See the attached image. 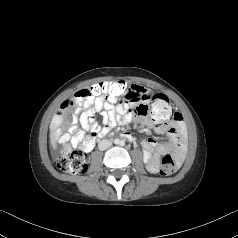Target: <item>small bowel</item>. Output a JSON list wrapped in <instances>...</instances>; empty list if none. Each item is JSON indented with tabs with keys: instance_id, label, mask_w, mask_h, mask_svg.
I'll return each instance as SVG.
<instances>
[{
	"instance_id": "obj_1",
	"label": "small bowel",
	"mask_w": 238,
	"mask_h": 238,
	"mask_svg": "<svg viewBox=\"0 0 238 238\" xmlns=\"http://www.w3.org/2000/svg\"><path fill=\"white\" fill-rule=\"evenodd\" d=\"M150 100L149 91L137 85L129 88L123 102L118 104L101 100L86 101L82 104L81 102H73L72 99L66 100L52 120L53 137L65 146L63 152L68 149V143L74 147L83 145L86 151H90L94 147L95 138L105 136L116 125L139 123L169 138V143H158L152 138H146L142 141L143 156L147 167L151 172L156 173L159 170L162 155L173 152L178 161L182 159L186 147V129L179 113H176L174 119L169 122H158L147 114H140L136 111L139 106L148 107L147 104ZM72 107L74 108V115L68 132H62L59 127L63 123L65 112ZM95 112L102 115V126L95 121L93 116ZM77 123L83 129L91 132L89 141L82 142V131L78 128ZM122 135L130 141L133 140L129 132H123Z\"/></svg>"
}]
</instances>
